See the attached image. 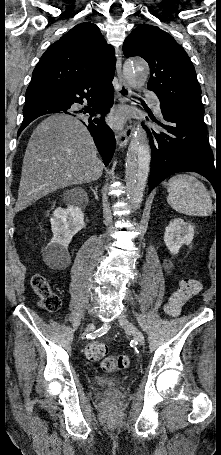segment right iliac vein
Returning a JSON list of instances; mask_svg holds the SVG:
<instances>
[{"instance_id":"obj_1","label":"right iliac vein","mask_w":221,"mask_h":455,"mask_svg":"<svg viewBox=\"0 0 221 455\" xmlns=\"http://www.w3.org/2000/svg\"><path fill=\"white\" fill-rule=\"evenodd\" d=\"M94 327H95L94 323L88 324L86 329H85V333L90 332L92 329H94Z\"/></svg>"}]
</instances>
